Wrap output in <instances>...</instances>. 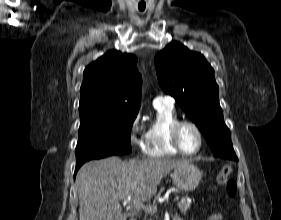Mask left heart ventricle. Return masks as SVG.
I'll return each instance as SVG.
<instances>
[{
  "mask_svg": "<svg viewBox=\"0 0 281 220\" xmlns=\"http://www.w3.org/2000/svg\"><path fill=\"white\" fill-rule=\"evenodd\" d=\"M180 143L185 151H195L199 145V138L196 131L190 126H184L180 131Z\"/></svg>",
  "mask_w": 281,
  "mask_h": 220,
  "instance_id": "left-heart-ventricle-1",
  "label": "left heart ventricle"
}]
</instances>
